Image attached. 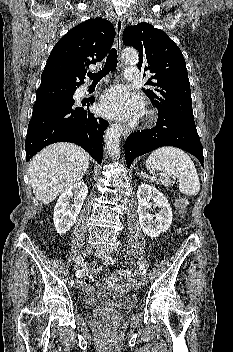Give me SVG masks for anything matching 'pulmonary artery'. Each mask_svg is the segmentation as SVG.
<instances>
[{"label":"pulmonary artery","instance_id":"pulmonary-artery-1","mask_svg":"<svg viewBox=\"0 0 233 352\" xmlns=\"http://www.w3.org/2000/svg\"><path fill=\"white\" fill-rule=\"evenodd\" d=\"M138 76V69L136 67H128L125 70V78L129 81H136Z\"/></svg>","mask_w":233,"mask_h":352}]
</instances>
